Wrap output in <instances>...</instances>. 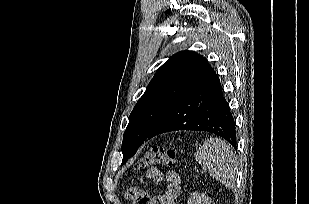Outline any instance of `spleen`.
<instances>
[{
    "label": "spleen",
    "instance_id": "obj_1",
    "mask_svg": "<svg viewBox=\"0 0 309 204\" xmlns=\"http://www.w3.org/2000/svg\"><path fill=\"white\" fill-rule=\"evenodd\" d=\"M195 160L207 167L210 176L226 187H234L238 169L231 147L218 138L205 140L196 149Z\"/></svg>",
    "mask_w": 309,
    "mask_h": 204
}]
</instances>
